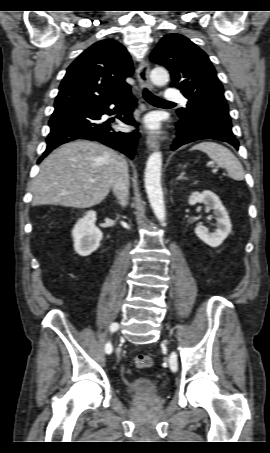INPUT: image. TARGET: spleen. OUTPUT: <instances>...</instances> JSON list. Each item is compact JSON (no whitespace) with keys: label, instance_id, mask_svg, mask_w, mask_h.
Listing matches in <instances>:
<instances>
[{"label":"spleen","instance_id":"3e777b00","mask_svg":"<svg viewBox=\"0 0 270 453\" xmlns=\"http://www.w3.org/2000/svg\"><path fill=\"white\" fill-rule=\"evenodd\" d=\"M191 150H200L208 155L216 164L225 168L234 180L241 181L245 172L238 158L226 147L215 142H202L196 144Z\"/></svg>","mask_w":270,"mask_h":453}]
</instances>
